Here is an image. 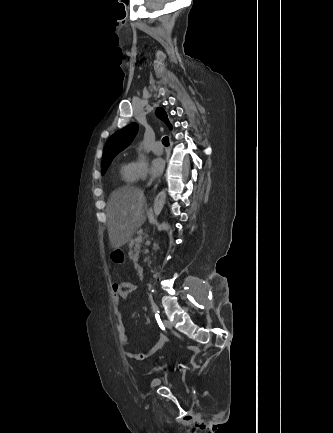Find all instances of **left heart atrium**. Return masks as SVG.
<instances>
[{
    "instance_id": "1",
    "label": "left heart atrium",
    "mask_w": 333,
    "mask_h": 433,
    "mask_svg": "<svg viewBox=\"0 0 333 433\" xmlns=\"http://www.w3.org/2000/svg\"><path fill=\"white\" fill-rule=\"evenodd\" d=\"M164 169V161L161 158H155L152 161V172L155 176L162 173Z\"/></svg>"
}]
</instances>
